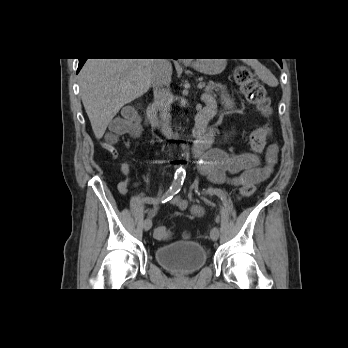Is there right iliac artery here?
<instances>
[{
	"mask_svg": "<svg viewBox=\"0 0 348 348\" xmlns=\"http://www.w3.org/2000/svg\"><path fill=\"white\" fill-rule=\"evenodd\" d=\"M185 179V170L184 169H179L178 172L175 173L174 180L172 182V185L170 188L165 192V194L159 198L156 199L154 195H146L144 197V200L146 202H152L153 204H158V203H165L172 199V197L177 194L183 185Z\"/></svg>",
	"mask_w": 348,
	"mask_h": 348,
	"instance_id": "obj_1",
	"label": "right iliac artery"
}]
</instances>
